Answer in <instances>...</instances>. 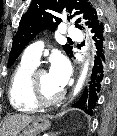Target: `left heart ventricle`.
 <instances>
[{
	"instance_id": "b2bd125f",
	"label": "left heart ventricle",
	"mask_w": 117,
	"mask_h": 136,
	"mask_svg": "<svg viewBox=\"0 0 117 136\" xmlns=\"http://www.w3.org/2000/svg\"><path fill=\"white\" fill-rule=\"evenodd\" d=\"M38 85L41 94L45 99H52L62 91V89L59 88L50 78L48 72L39 75Z\"/></svg>"
}]
</instances>
